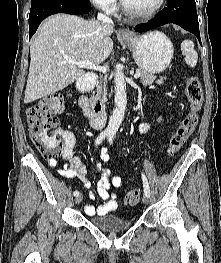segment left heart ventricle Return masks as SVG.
<instances>
[{
	"mask_svg": "<svg viewBox=\"0 0 221 263\" xmlns=\"http://www.w3.org/2000/svg\"><path fill=\"white\" fill-rule=\"evenodd\" d=\"M135 10L146 11L155 7L159 0H125Z\"/></svg>",
	"mask_w": 221,
	"mask_h": 263,
	"instance_id": "b2bd125f",
	"label": "left heart ventricle"
}]
</instances>
